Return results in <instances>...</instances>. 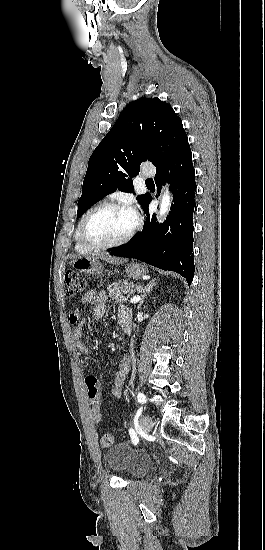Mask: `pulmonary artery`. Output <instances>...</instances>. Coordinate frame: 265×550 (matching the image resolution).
I'll return each instance as SVG.
<instances>
[{"label": "pulmonary artery", "instance_id": "obj_1", "mask_svg": "<svg viewBox=\"0 0 265 550\" xmlns=\"http://www.w3.org/2000/svg\"><path fill=\"white\" fill-rule=\"evenodd\" d=\"M155 171L153 169H150V170H145L142 172V175L145 176V177H149V176H152L154 175Z\"/></svg>", "mask_w": 265, "mask_h": 550}]
</instances>
